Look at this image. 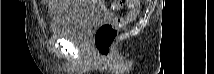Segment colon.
Returning a JSON list of instances; mask_svg holds the SVG:
<instances>
[{
    "instance_id": "obj_1",
    "label": "colon",
    "mask_w": 214,
    "mask_h": 74,
    "mask_svg": "<svg viewBox=\"0 0 214 74\" xmlns=\"http://www.w3.org/2000/svg\"><path fill=\"white\" fill-rule=\"evenodd\" d=\"M130 11L124 17H116L110 22L101 24L93 35V44L98 54L102 57H108L112 51V44L118 30L123 29L127 24L134 21L140 13V1L127 0ZM122 1L110 2V8L118 11L122 8Z\"/></svg>"
}]
</instances>
